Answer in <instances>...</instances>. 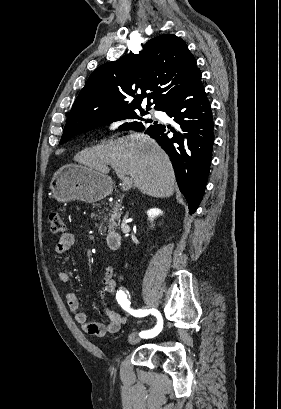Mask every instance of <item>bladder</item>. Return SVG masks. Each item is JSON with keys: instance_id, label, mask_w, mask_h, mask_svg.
I'll use <instances>...</instances> for the list:
<instances>
[{"instance_id": "bladder-1", "label": "bladder", "mask_w": 281, "mask_h": 409, "mask_svg": "<svg viewBox=\"0 0 281 409\" xmlns=\"http://www.w3.org/2000/svg\"><path fill=\"white\" fill-rule=\"evenodd\" d=\"M114 344H115V341L113 340L108 341V345H114Z\"/></svg>"}]
</instances>
